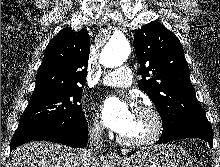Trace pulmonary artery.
I'll return each instance as SVG.
<instances>
[{"label": "pulmonary artery", "mask_w": 220, "mask_h": 167, "mask_svg": "<svg viewBox=\"0 0 220 167\" xmlns=\"http://www.w3.org/2000/svg\"><path fill=\"white\" fill-rule=\"evenodd\" d=\"M101 83L108 86L126 88L132 84V76L130 68L122 66L115 70H111L104 74L101 78Z\"/></svg>", "instance_id": "1"}]
</instances>
